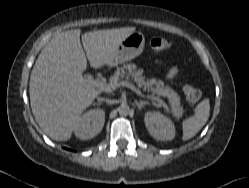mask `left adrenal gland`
Instances as JSON below:
<instances>
[{
	"instance_id": "a2214340",
	"label": "left adrenal gland",
	"mask_w": 249,
	"mask_h": 188,
	"mask_svg": "<svg viewBox=\"0 0 249 188\" xmlns=\"http://www.w3.org/2000/svg\"><path fill=\"white\" fill-rule=\"evenodd\" d=\"M135 104H136V106H137L139 109H142V107H143L144 105L149 104V102L140 100V101H135Z\"/></svg>"
}]
</instances>
